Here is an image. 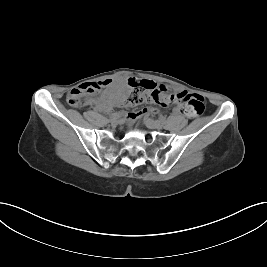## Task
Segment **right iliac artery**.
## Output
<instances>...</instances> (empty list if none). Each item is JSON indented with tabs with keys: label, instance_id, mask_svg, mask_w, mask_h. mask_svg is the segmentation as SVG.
<instances>
[{
	"label": "right iliac artery",
	"instance_id": "82829eb1",
	"mask_svg": "<svg viewBox=\"0 0 267 267\" xmlns=\"http://www.w3.org/2000/svg\"><path fill=\"white\" fill-rule=\"evenodd\" d=\"M120 116V113H113L109 116V119L112 120V119H116Z\"/></svg>",
	"mask_w": 267,
	"mask_h": 267
}]
</instances>
